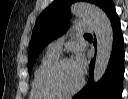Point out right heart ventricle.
Wrapping results in <instances>:
<instances>
[{"mask_svg": "<svg viewBox=\"0 0 128 99\" xmlns=\"http://www.w3.org/2000/svg\"><path fill=\"white\" fill-rule=\"evenodd\" d=\"M59 57V54L53 53L51 51H47L45 55L41 58L40 62L38 63L34 73L33 78L31 82V92L30 97L32 99H53L55 96L44 92L39 85V76L42 71V69L56 60Z\"/></svg>", "mask_w": 128, "mask_h": 99, "instance_id": "1", "label": "right heart ventricle"}]
</instances>
